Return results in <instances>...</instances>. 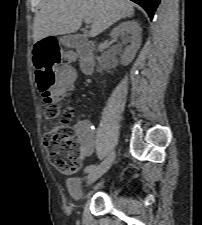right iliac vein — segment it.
<instances>
[{"mask_svg":"<svg viewBox=\"0 0 202 225\" xmlns=\"http://www.w3.org/2000/svg\"><path fill=\"white\" fill-rule=\"evenodd\" d=\"M114 159H115V151L112 150L107 156V158L98 167L89 172L86 178L87 184L88 185L92 184L97 179H99L104 173H106L111 167Z\"/></svg>","mask_w":202,"mask_h":225,"instance_id":"obj_1","label":"right iliac vein"}]
</instances>
